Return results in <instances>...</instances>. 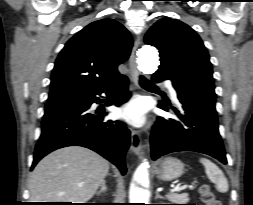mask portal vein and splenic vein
Listing matches in <instances>:
<instances>
[{
    "label": "portal vein and splenic vein",
    "mask_w": 253,
    "mask_h": 205,
    "mask_svg": "<svg viewBox=\"0 0 253 205\" xmlns=\"http://www.w3.org/2000/svg\"><path fill=\"white\" fill-rule=\"evenodd\" d=\"M187 187H188L187 185L176 186V187L170 189V192L172 193V192H175V191H179V190L185 189V188H187Z\"/></svg>",
    "instance_id": "1"
}]
</instances>
